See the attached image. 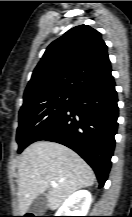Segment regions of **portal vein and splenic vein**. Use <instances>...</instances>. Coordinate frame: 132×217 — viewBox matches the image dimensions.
<instances>
[{
    "mask_svg": "<svg viewBox=\"0 0 132 217\" xmlns=\"http://www.w3.org/2000/svg\"><path fill=\"white\" fill-rule=\"evenodd\" d=\"M51 185H52L53 187H56V186H57V183L54 182V181H52V182H51Z\"/></svg>",
    "mask_w": 132,
    "mask_h": 217,
    "instance_id": "portal-vein-and-splenic-vein-1",
    "label": "portal vein and splenic vein"
}]
</instances>
